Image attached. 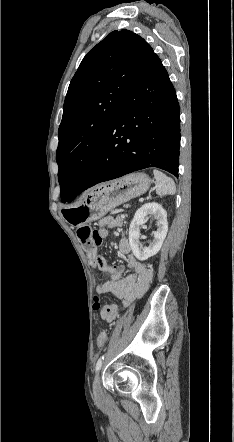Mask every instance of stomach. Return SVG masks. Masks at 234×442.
Here are the masks:
<instances>
[{
    "label": "stomach",
    "mask_w": 234,
    "mask_h": 442,
    "mask_svg": "<svg viewBox=\"0 0 234 442\" xmlns=\"http://www.w3.org/2000/svg\"><path fill=\"white\" fill-rule=\"evenodd\" d=\"M150 183L148 175L137 172L96 186L80 203L63 210V217L72 226L96 221L120 204L144 194Z\"/></svg>",
    "instance_id": "1"
}]
</instances>
